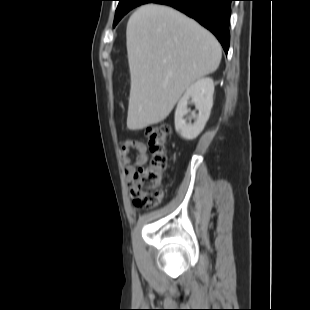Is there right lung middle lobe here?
<instances>
[{
  "label": "right lung middle lobe",
  "mask_w": 310,
  "mask_h": 310,
  "mask_svg": "<svg viewBox=\"0 0 310 310\" xmlns=\"http://www.w3.org/2000/svg\"><path fill=\"white\" fill-rule=\"evenodd\" d=\"M152 1L153 0H119L113 26H115L121 20V18L131 9L145 3H150Z\"/></svg>",
  "instance_id": "1"
}]
</instances>
